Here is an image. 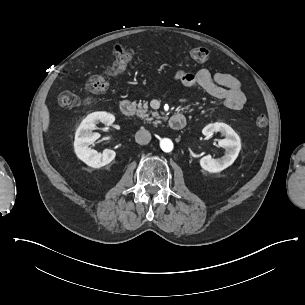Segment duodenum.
Instances as JSON below:
<instances>
[{
	"mask_svg": "<svg viewBox=\"0 0 305 305\" xmlns=\"http://www.w3.org/2000/svg\"><path fill=\"white\" fill-rule=\"evenodd\" d=\"M122 115L130 117L136 112V105L128 100L122 101L120 104ZM169 125L173 130H180L185 126V118L182 114H173L169 119Z\"/></svg>",
	"mask_w": 305,
	"mask_h": 305,
	"instance_id": "1",
	"label": "duodenum"
}]
</instances>
